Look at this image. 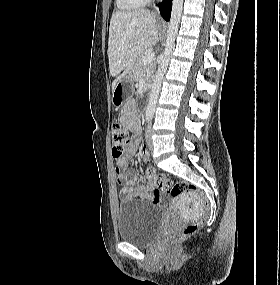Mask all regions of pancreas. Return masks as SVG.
<instances>
[{
    "label": "pancreas",
    "instance_id": "cf45deb5",
    "mask_svg": "<svg viewBox=\"0 0 280 285\" xmlns=\"http://www.w3.org/2000/svg\"><path fill=\"white\" fill-rule=\"evenodd\" d=\"M143 57H144L143 55H140L135 62V65L133 67V78L137 82H139L141 79H144L145 80L144 89L147 90L148 87L150 86V83L154 75L155 64L150 63L144 65L142 63Z\"/></svg>",
    "mask_w": 280,
    "mask_h": 285
}]
</instances>
